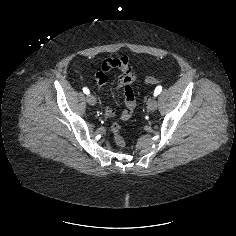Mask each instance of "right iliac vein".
Masks as SVG:
<instances>
[{"label":"right iliac vein","instance_id":"obj_1","mask_svg":"<svg viewBox=\"0 0 236 236\" xmlns=\"http://www.w3.org/2000/svg\"><path fill=\"white\" fill-rule=\"evenodd\" d=\"M86 99H87L88 104H90V105H95L96 104V98H95L94 95L89 94V95H87Z\"/></svg>","mask_w":236,"mask_h":236}]
</instances>
